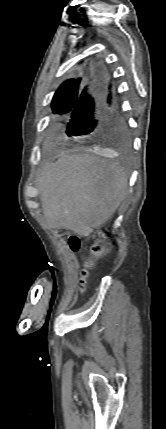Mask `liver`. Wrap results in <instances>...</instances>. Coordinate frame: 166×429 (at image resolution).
<instances>
[{
	"instance_id": "obj_1",
	"label": "liver",
	"mask_w": 166,
	"mask_h": 429,
	"mask_svg": "<svg viewBox=\"0 0 166 429\" xmlns=\"http://www.w3.org/2000/svg\"><path fill=\"white\" fill-rule=\"evenodd\" d=\"M38 188L42 211L51 227L89 236L124 200L128 176L119 163L99 156L64 155L43 166Z\"/></svg>"
}]
</instances>
